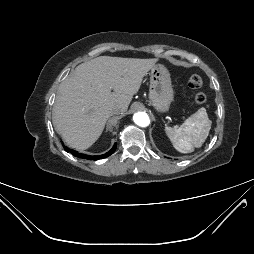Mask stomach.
Segmentation results:
<instances>
[{
	"label": "stomach",
	"instance_id": "obj_1",
	"mask_svg": "<svg viewBox=\"0 0 254 254\" xmlns=\"http://www.w3.org/2000/svg\"><path fill=\"white\" fill-rule=\"evenodd\" d=\"M149 76L150 103L159 112H167L174 98L170 73L164 65L156 64L150 69Z\"/></svg>",
	"mask_w": 254,
	"mask_h": 254
}]
</instances>
